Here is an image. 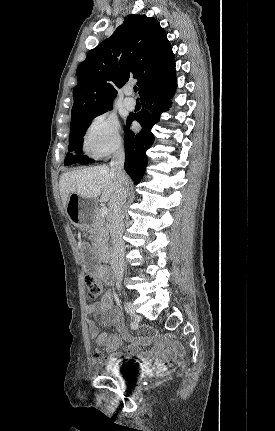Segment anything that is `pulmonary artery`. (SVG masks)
Here are the masks:
<instances>
[{"label": "pulmonary artery", "mask_w": 275, "mask_h": 431, "mask_svg": "<svg viewBox=\"0 0 275 431\" xmlns=\"http://www.w3.org/2000/svg\"><path fill=\"white\" fill-rule=\"evenodd\" d=\"M132 90L131 89H127L125 91L126 94V98L124 99L123 103L124 106L128 109V110H133L136 106V101L130 96L131 95Z\"/></svg>", "instance_id": "obj_1"}]
</instances>
